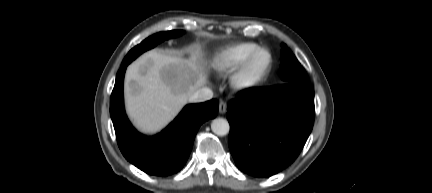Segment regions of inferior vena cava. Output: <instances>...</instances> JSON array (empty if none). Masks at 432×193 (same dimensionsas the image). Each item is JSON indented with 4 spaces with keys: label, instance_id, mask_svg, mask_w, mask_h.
I'll return each mask as SVG.
<instances>
[{
    "label": "inferior vena cava",
    "instance_id": "inferior-vena-cava-1",
    "mask_svg": "<svg viewBox=\"0 0 432 193\" xmlns=\"http://www.w3.org/2000/svg\"><path fill=\"white\" fill-rule=\"evenodd\" d=\"M213 92L209 88H201L189 97L190 102L200 103L212 99Z\"/></svg>",
    "mask_w": 432,
    "mask_h": 193
}]
</instances>
